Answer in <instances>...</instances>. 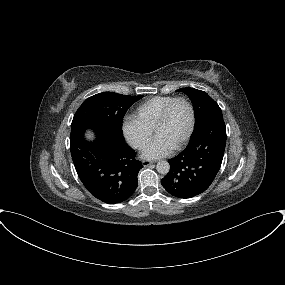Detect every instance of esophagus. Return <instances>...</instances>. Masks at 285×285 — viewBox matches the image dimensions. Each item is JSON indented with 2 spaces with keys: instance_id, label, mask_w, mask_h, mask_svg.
Masks as SVG:
<instances>
[{
  "instance_id": "34e87169",
  "label": "esophagus",
  "mask_w": 285,
  "mask_h": 285,
  "mask_svg": "<svg viewBox=\"0 0 285 285\" xmlns=\"http://www.w3.org/2000/svg\"><path fill=\"white\" fill-rule=\"evenodd\" d=\"M154 163V161H149V160H143L142 165L144 167H148L150 164Z\"/></svg>"
}]
</instances>
